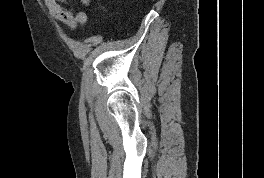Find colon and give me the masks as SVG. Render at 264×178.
I'll list each match as a JSON object with an SVG mask.
<instances>
[{
	"label": "colon",
	"mask_w": 264,
	"mask_h": 178,
	"mask_svg": "<svg viewBox=\"0 0 264 178\" xmlns=\"http://www.w3.org/2000/svg\"><path fill=\"white\" fill-rule=\"evenodd\" d=\"M79 3L83 8H89L92 5V0H79Z\"/></svg>",
	"instance_id": "obj_1"
}]
</instances>
